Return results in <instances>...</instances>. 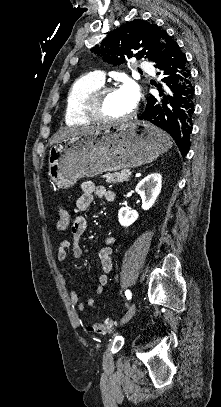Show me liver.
<instances>
[{"label":"liver","instance_id":"6515ba94","mask_svg":"<svg viewBox=\"0 0 221 407\" xmlns=\"http://www.w3.org/2000/svg\"><path fill=\"white\" fill-rule=\"evenodd\" d=\"M99 129L100 128H96V127H73V128L61 129L57 133L54 134V136L50 142V145H54V144L58 143L60 140L66 138V137H69V136L93 133Z\"/></svg>","mask_w":221,"mask_h":407}]
</instances>
